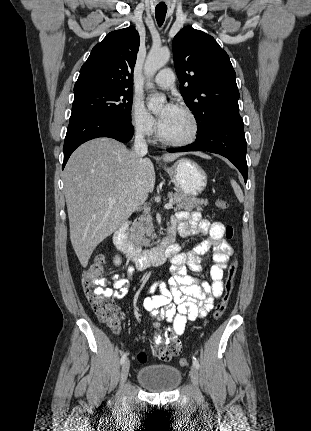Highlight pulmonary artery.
<instances>
[{"label":"pulmonary artery","mask_w":311,"mask_h":431,"mask_svg":"<svg viewBox=\"0 0 311 431\" xmlns=\"http://www.w3.org/2000/svg\"><path fill=\"white\" fill-rule=\"evenodd\" d=\"M156 85L161 89H170L175 85V75L172 69L160 70L154 78Z\"/></svg>","instance_id":"e3ab8cb5"}]
</instances>
